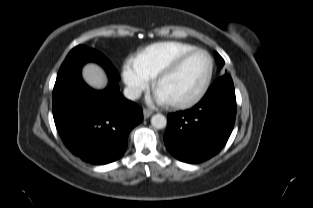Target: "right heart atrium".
<instances>
[{
    "label": "right heart atrium",
    "mask_w": 313,
    "mask_h": 208,
    "mask_svg": "<svg viewBox=\"0 0 313 208\" xmlns=\"http://www.w3.org/2000/svg\"><path fill=\"white\" fill-rule=\"evenodd\" d=\"M123 76L129 91L134 95L145 90L150 83V78L140 72L132 62L126 65Z\"/></svg>",
    "instance_id": "obj_1"
}]
</instances>
